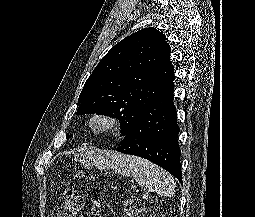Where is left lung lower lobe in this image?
Segmentation results:
<instances>
[{
	"label": "left lung lower lobe",
	"instance_id": "obj_1",
	"mask_svg": "<svg viewBox=\"0 0 255 217\" xmlns=\"http://www.w3.org/2000/svg\"><path fill=\"white\" fill-rule=\"evenodd\" d=\"M173 89L172 81L133 124L116 151L145 158L171 173L182 184Z\"/></svg>",
	"mask_w": 255,
	"mask_h": 217
}]
</instances>
